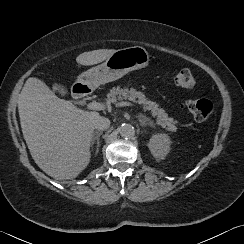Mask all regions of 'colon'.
Wrapping results in <instances>:
<instances>
[{"label": "colon", "mask_w": 244, "mask_h": 244, "mask_svg": "<svg viewBox=\"0 0 244 244\" xmlns=\"http://www.w3.org/2000/svg\"><path fill=\"white\" fill-rule=\"evenodd\" d=\"M173 82L176 87L185 89L193 88L196 84L194 76L187 69L178 71ZM184 106L193 115L194 119L200 122L208 120L216 112L214 104L206 99L188 98L184 101Z\"/></svg>", "instance_id": "1"}]
</instances>
